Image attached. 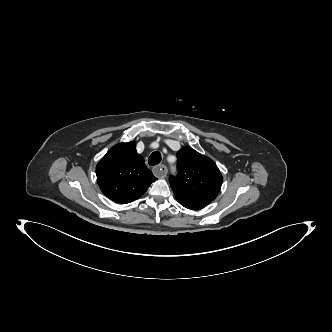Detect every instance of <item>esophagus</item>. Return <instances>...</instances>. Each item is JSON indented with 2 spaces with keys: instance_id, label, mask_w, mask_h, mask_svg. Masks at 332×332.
<instances>
[{
  "instance_id": "34e87169",
  "label": "esophagus",
  "mask_w": 332,
  "mask_h": 332,
  "mask_svg": "<svg viewBox=\"0 0 332 332\" xmlns=\"http://www.w3.org/2000/svg\"><path fill=\"white\" fill-rule=\"evenodd\" d=\"M167 167L164 164H160L153 168V173L158 178H164L167 175Z\"/></svg>"
}]
</instances>
